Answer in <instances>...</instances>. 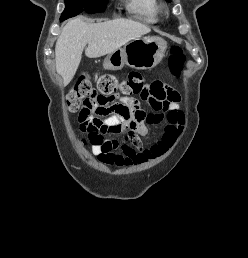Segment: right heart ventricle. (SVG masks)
Instances as JSON below:
<instances>
[{
	"label": "right heart ventricle",
	"mask_w": 248,
	"mask_h": 258,
	"mask_svg": "<svg viewBox=\"0 0 248 258\" xmlns=\"http://www.w3.org/2000/svg\"><path fill=\"white\" fill-rule=\"evenodd\" d=\"M126 6L129 13L148 23L157 22L161 14L158 0H127Z\"/></svg>",
	"instance_id": "right-heart-ventricle-1"
}]
</instances>
